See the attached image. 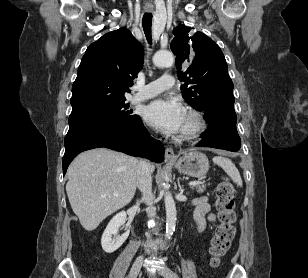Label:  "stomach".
Wrapping results in <instances>:
<instances>
[{
  "instance_id": "0dacf381",
  "label": "stomach",
  "mask_w": 308,
  "mask_h": 278,
  "mask_svg": "<svg viewBox=\"0 0 308 278\" xmlns=\"http://www.w3.org/2000/svg\"><path fill=\"white\" fill-rule=\"evenodd\" d=\"M172 163L179 172L190 177H202L209 169L207 156L198 151L185 153L182 157Z\"/></svg>"
}]
</instances>
